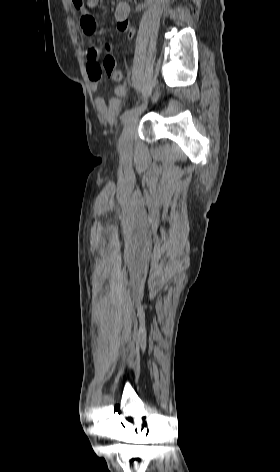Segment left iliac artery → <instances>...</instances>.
<instances>
[{"label": "left iliac artery", "instance_id": "1", "mask_svg": "<svg viewBox=\"0 0 280 472\" xmlns=\"http://www.w3.org/2000/svg\"><path fill=\"white\" fill-rule=\"evenodd\" d=\"M126 85L128 87H132V83L130 82V80L126 81ZM141 109H142V106H136V107H133L130 110L126 111L122 115V122L126 123L132 116L136 115Z\"/></svg>", "mask_w": 280, "mask_h": 472}]
</instances>
